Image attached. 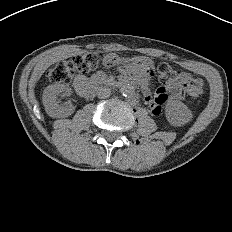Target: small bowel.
<instances>
[{"label":"small bowel","instance_id":"small-bowel-1","mask_svg":"<svg viewBox=\"0 0 232 232\" xmlns=\"http://www.w3.org/2000/svg\"><path fill=\"white\" fill-rule=\"evenodd\" d=\"M103 63L106 67L113 69L115 67H123L130 74H139L143 77H151L153 73V64L150 60L142 57H135L130 59L125 64V58L123 56L108 55L104 58ZM85 81L83 76L76 78L74 85H77ZM192 81H199L193 79L187 73H180L170 84L157 89L155 96L152 97L148 84L146 83V89L143 90L144 98L153 114H159L162 105L169 100H178L184 97L186 92V86ZM202 83V82H201Z\"/></svg>","mask_w":232,"mask_h":232}]
</instances>
